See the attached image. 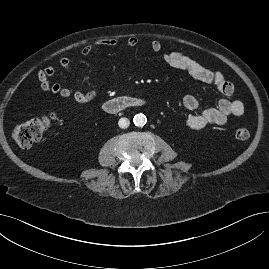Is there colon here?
<instances>
[{
	"label": "colon",
	"instance_id": "5ec220e1",
	"mask_svg": "<svg viewBox=\"0 0 269 269\" xmlns=\"http://www.w3.org/2000/svg\"><path fill=\"white\" fill-rule=\"evenodd\" d=\"M53 119L52 115H45L17 124L11 128V136L20 147L30 148L42 138ZM249 135L246 127H239L236 131V137L240 140H246Z\"/></svg>",
	"mask_w": 269,
	"mask_h": 269
}]
</instances>
